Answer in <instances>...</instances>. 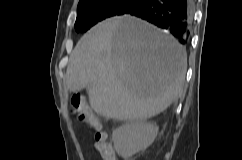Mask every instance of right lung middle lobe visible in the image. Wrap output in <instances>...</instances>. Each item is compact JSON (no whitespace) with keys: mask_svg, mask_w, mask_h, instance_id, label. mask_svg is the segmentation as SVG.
<instances>
[{"mask_svg":"<svg viewBox=\"0 0 242 160\" xmlns=\"http://www.w3.org/2000/svg\"><path fill=\"white\" fill-rule=\"evenodd\" d=\"M141 0H82L78 4L75 29L86 32L106 18L125 14Z\"/></svg>","mask_w":242,"mask_h":160,"instance_id":"right-lung-middle-lobe-1","label":"right lung middle lobe"}]
</instances>
